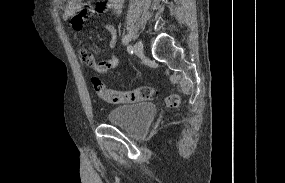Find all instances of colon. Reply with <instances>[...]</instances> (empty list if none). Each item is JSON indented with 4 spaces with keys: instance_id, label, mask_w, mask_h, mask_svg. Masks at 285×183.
<instances>
[{
    "instance_id": "5ec220e1",
    "label": "colon",
    "mask_w": 285,
    "mask_h": 183,
    "mask_svg": "<svg viewBox=\"0 0 285 183\" xmlns=\"http://www.w3.org/2000/svg\"><path fill=\"white\" fill-rule=\"evenodd\" d=\"M92 85L95 93L105 102L111 104L119 103H135L147 101L154 97L155 90L152 87L143 86L128 91H118L109 89L98 77L92 78ZM179 97L176 94H171L167 97L166 103L171 108L179 106Z\"/></svg>"
}]
</instances>
